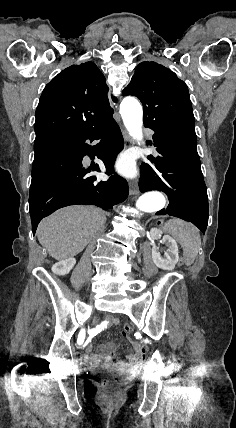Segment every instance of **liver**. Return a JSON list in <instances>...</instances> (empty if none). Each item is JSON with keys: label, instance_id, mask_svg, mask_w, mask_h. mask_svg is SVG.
Here are the masks:
<instances>
[{"label": "liver", "instance_id": "6515ba94", "mask_svg": "<svg viewBox=\"0 0 236 428\" xmlns=\"http://www.w3.org/2000/svg\"><path fill=\"white\" fill-rule=\"evenodd\" d=\"M105 222L106 216L99 208L68 206L40 222L37 238L49 256L66 260L83 252Z\"/></svg>", "mask_w": 236, "mask_h": 428}]
</instances>
